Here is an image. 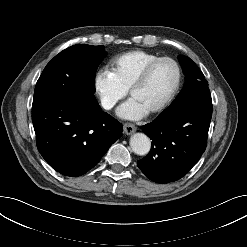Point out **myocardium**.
<instances>
[{
  "mask_svg": "<svg viewBox=\"0 0 247 247\" xmlns=\"http://www.w3.org/2000/svg\"><path fill=\"white\" fill-rule=\"evenodd\" d=\"M163 61H168L174 65L175 70H176V79H175V83H174L172 89L170 90V92L168 93V95L158 105H156L155 107L150 109L149 110L150 113H157V112H160L163 109H165L170 104V102L173 100L175 95L177 94L179 87L181 85V80H182V71H181V67H180L179 63L171 57H167V56L158 57V58L154 59L153 61H151L150 63H148L143 68V70L135 78V80L133 81V83L131 84V86L129 88V94L132 96V94L135 90H137L142 85H144V83L147 81V79H148L150 73L152 72V70L154 69V67Z\"/></svg>",
  "mask_w": 247,
  "mask_h": 247,
  "instance_id": "f54148a6",
  "label": "myocardium"
}]
</instances>
